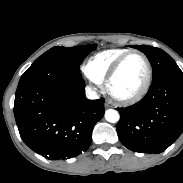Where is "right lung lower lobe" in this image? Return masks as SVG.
I'll return each instance as SVG.
<instances>
[{"label": "right lung lower lobe", "instance_id": "right-lung-lower-lobe-1", "mask_svg": "<svg viewBox=\"0 0 183 183\" xmlns=\"http://www.w3.org/2000/svg\"><path fill=\"white\" fill-rule=\"evenodd\" d=\"M79 74L20 80L14 115L24 143L50 160L85 152L94 125L104 115V101L85 97Z\"/></svg>", "mask_w": 183, "mask_h": 183}]
</instances>
